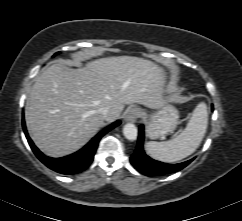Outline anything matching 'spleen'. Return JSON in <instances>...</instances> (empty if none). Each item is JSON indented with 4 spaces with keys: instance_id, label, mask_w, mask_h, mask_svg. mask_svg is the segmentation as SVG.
<instances>
[{
    "instance_id": "3e777b00",
    "label": "spleen",
    "mask_w": 242,
    "mask_h": 221,
    "mask_svg": "<svg viewBox=\"0 0 242 221\" xmlns=\"http://www.w3.org/2000/svg\"><path fill=\"white\" fill-rule=\"evenodd\" d=\"M208 125L207 105L199 103L186 128L174 139L164 142L149 141L146 150L156 160L173 163L196 151L202 142Z\"/></svg>"
}]
</instances>
